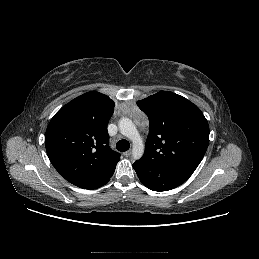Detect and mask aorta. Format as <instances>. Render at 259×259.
I'll list each match as a JSON object with an SVG mask.
<instances>
[{
    "label": "aorta",
    "instance_id": "aorta-1",
    "mask_svg": "<svg viewBox=\"0 0 259 259\" xmlns=\"http://www.w3.org/2000/svg\"><path fill=\"white\" fill-rule=\"evenodd\" d=\"M118 127L120 133L132 141L133 158L140 159L144 153V144L134 123L130 119L123 117L119 120Z\"/></svg>",
    "mask_w": 259,
    "mask_h": 259
}]
</instances>
